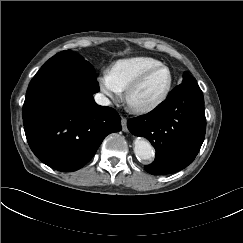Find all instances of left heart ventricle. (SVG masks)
Segmentation results:
<instances>
[{"label": "left heart ventricle", "mask_w": 243, "mask_h": 243, "mask_svg": "<svg viewBox=\"0 0 243 243\" xmlns=\"http://www.w3.org/2000/svg\"><path fill=\"white\" fill-rule=\"evenodd\" d=\"M167 82L168 72L165 69L154 71L134 93L133 101L142 104L157 98L165 89Z\"/></svg>", "instance_id": "obj_1"}]
</instances>
